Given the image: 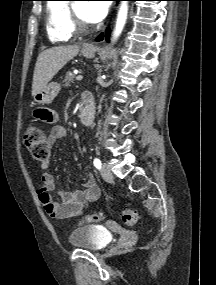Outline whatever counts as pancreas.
I'll return each mask as SVG.
<instances>
[{"instance_id":"cf45deb5","label":"pancreas","mask_w":216,"mask_h":285,"mask_svg":"<svg viewBox=\"0 0 216 285\" xmlns=\"http://www.w3.org/2000/svg\"><path fill=\"white\" fill-rule=\"evenodd\" d=\"M76 75L73 74L71 71H68L66 73L65 79L63 80V85L65 87L70 86L71 83H73L75 81Z\"/></svg>"}]
</instances>
